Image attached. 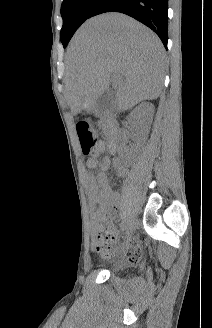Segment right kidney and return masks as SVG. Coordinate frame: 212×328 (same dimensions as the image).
Listing matches in <instances>:
<instances>
[{"label":"right kidney","instance_id":"obj_1","mask_svg":"<svg viewBox=\"0 0 212 328\" xmlns=\"http://www.w3.org/2000/svg\"><path fill=\"white\" fill-rule=\"evenodd\" d=\"M154 116V105L149 102H143L138 105L128 116V121L131 122L137 130L140 140H145Z\"/></svg>","mask_w":212,"mask_h":328}]
</instances>
